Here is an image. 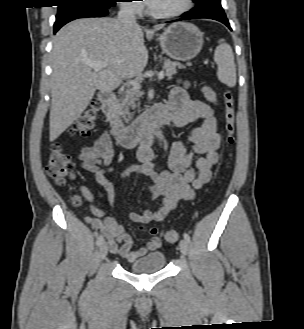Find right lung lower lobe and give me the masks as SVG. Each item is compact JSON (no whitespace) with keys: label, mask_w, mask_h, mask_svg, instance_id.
<instances>
[{"label":"right lung lower lobe","mask_w":304,"mask_h":329,"mask_svg":"<svg viewBox=\"0 0 304 329\" xmlns=\"http://www.w3.org/2000/svg\"><path fill=\"white\" fill-rule=\"evenodd\" d=\"M108 14V8L78 7L57 14L54 23V34L66 23L84 17H103Z\"/></svg>","instance_id":"obj_1"}]
</instances>
